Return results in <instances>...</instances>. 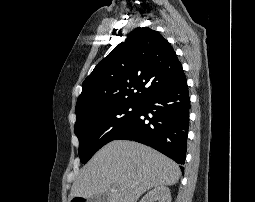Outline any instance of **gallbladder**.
<instances>
[{
  "label": "gallbladder",
  "mask_w": 255,
  "mask_h": 202,
  "mask_svg": "<svg viewBox=\"0 0 255 202\" xmlns=\"http://www.w3.org/2000/svg\"><path fill=\"white\" fill-rule=\"evenodd\" d=\"M88 202H108V196L107 194L103 193L100 195H95L91 197Z\"/></svg>",
  "instance_id": "bac80fb5"
}]
</instances>
